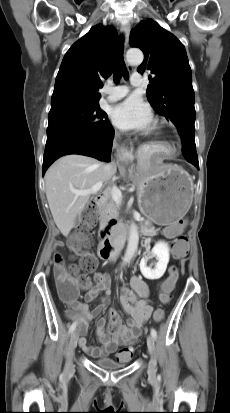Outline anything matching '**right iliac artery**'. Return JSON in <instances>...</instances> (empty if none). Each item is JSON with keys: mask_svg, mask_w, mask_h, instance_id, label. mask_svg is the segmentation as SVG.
I'll return each instance as SVG.
<instances>
[{"mask_svg": "<svg viewBox=\"0 0 230 413\" xmlns=\"http://www.w3.org/2000/svg\"><path fill=\"white\" fill-rule=\"evenodd\" d=\"M76 328V323H73L69 328V333H72Z\"/></svg>", "mask_w": 230, "mask_h": 413, "instance_id": "1", "label": "right iliac artery"}]
</instances>
